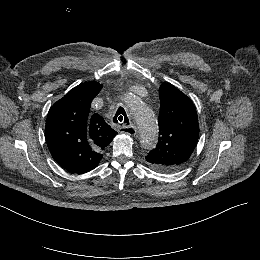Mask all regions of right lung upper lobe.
Here are the masks:
<instances>
[{
    "label": "right lung upper lobe",
    "instance_id": "1",
    "mask_svg": "<svg viewBox=\"0 0 260 260\" xmlns=\"http://www.w3.org/2000/svg\"><path fill=\"white\" fill-rule=\"evenodd\" d=\"M101 88L94 81L80 84L49 110L46 142L54 160L67 171L85 173L97 167L105 147L117 134L102 116L89 114Z\"/></svg>",
    "mask_w": 260,
    "mask_h": 260
}]
</instances>
